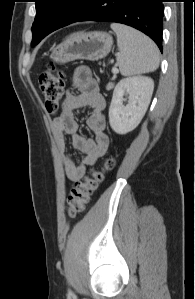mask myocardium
Returning a JSON list of instances; mask_svg holds the SVG:
<instances>
[{
  "label": "myocardium",
  "mask_w": 195,
  "mask_h": 299,
  "mask_svg": "<svg viewBox=\"0 0 195 299\" xmlns=\"http://www.w3.org/2000/svg\"><path fill=\"white\" fill-rule=\"evenodd\" d=\"M58 12H59V8L56 7V6L51 7L50 10H49V13L51 15H56Z\"/></svg>",
  "instance_id": "obj_1"
}]
</instances>
